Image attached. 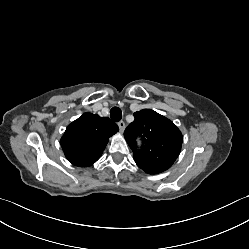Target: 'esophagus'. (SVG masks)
I'll return each mask as SVG.
<instances>
[{
    "label": "esophagus",
    "instance_id": "1",
    "mask_svg": "<svg viewBox=\"0 0 249 249\" xmlns=\"http://www.w3.org/2000/svg\"><path fill=\"white\" fill-rule=\"evenodd\" d=\"M118 127L120 131L123 133L125 130V123L123 121L118 122Z\"/></svg>",
    "mask_w": 249,
    "mask_h": 249
}]
</instances>
